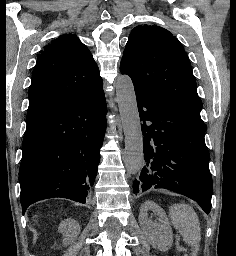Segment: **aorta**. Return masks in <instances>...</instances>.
Masks as SVG:
<instances>
[{"mask_svg": "<svg viewBox=\"0 0 236 256\" xmlns=\"http://www.w3.org/2000/svg\"><path fill=\"white\" fill-rule=\"evenodd\" d=\"M116 100L125 135L124 164L127 172L135 175L143 167V135L134 86L127 75L116 80Z\"/></svg>", "mask_w": 236, "mask_h": 256, "instance_id": "762f6f07", "label": "aorta"}]
</instances>
